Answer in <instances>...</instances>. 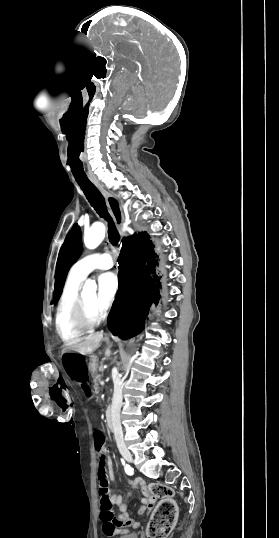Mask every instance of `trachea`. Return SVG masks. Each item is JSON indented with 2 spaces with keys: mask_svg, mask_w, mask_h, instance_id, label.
Wrapping results in <instances>:
<instances>
[{
  "mask_svg": "<svg viewBox=\"0 0 279 538\" xmlns=\"http://www.w3.org/2000/svg\"><path fill=\"white\" fill-rule=\"evenodd\" d=\"M74 178L81 190H83V193L96 213H98L101 218H104V220L108 222V238L110 243L116 246L119 242L120 235L117 232L115 224L108 213L103 195L100 193L98 188L91 183L87 176H74Z\"/></svg>",
  "mask_w": 279,
  "mask_h": 538,
  "instance_id": "trachea-1",
  "label": "trachea"
}]
</instances>
